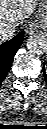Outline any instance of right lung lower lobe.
Returning a JSON list of instances; mask_svg holds the SVG:
<instances>
[{
    "instance_id": "obj_1",
    "label": "right lung lower lobe",
    "mask_w": 47,
    "mask_h": 129,
    "mask_svg": "<svg viewBox=\"0 0 47 129\" xmlns=\"http://www.w3.org/2000/svg\"><path fill=\"white\" fill-rule=\"evenodd\" d=\"M23 41V33L0 45V84L7 76L16 51Z\"/></svg>"
}]
</instances>
